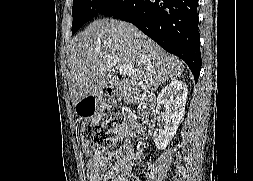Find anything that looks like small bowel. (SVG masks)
Returning <instances> with one entry per match:
<instances>
[{
  "label": "small bowel",
  "mask_w": 253,
  "mask_h": 181,
  "mask_svg": "<svg viewBox=\"0 0 253 181\" xmlns=\"http://www.w3.org/2000/svg\"><path fill=\"white\" fill-rule=\"evenodd\" d=\"M142 147V142L135 147L124 138L118 149L91 157L86 164L89 181H125L132 165L143 160Z\"/></svg>",
  "instance_id": "1"
}]
</instances>
